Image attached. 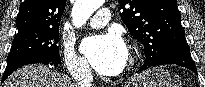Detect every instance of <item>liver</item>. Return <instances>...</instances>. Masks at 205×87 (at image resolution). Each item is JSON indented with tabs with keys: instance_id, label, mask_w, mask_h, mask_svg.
I'll return each instance as SVG.
<instances>
[{
	"instance_id": "1",
	"label": "liver",
	"mask_w": 205,
	"mask_h": 87,
	"mask_svg": "<svg viewBox=\"0 0 205 87\" xmlns=\"http://www.w3.org/2000/svg\"><path fill=\"white\" fill-rule=\"evenodd\" d=\"M3 87H79L75 82L46 65L24 66L12 73Z\"/></svg>"
}]
</instances>
